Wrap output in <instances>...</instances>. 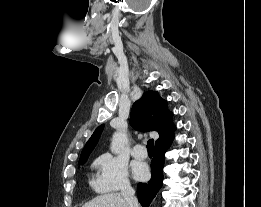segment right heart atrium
I'll return each mask as SVG.
<instances>
[{"label": "right heart atrium", "mask_w": 261, "mask_h": 207, "mask_svg": "<svg viewBox=\"0 0 261 207\" xmlns=\"http://www.w3.org/2000/svg\"><path fill=\"white\" fill-rule=\"evenodd\" d=\"M96 176L94 188L101 193H110L129 187V172L127 164L112 154L99 156L95 163Z\"/></svg>", "instance_id": "d8ad5b80"}]
</instances>
